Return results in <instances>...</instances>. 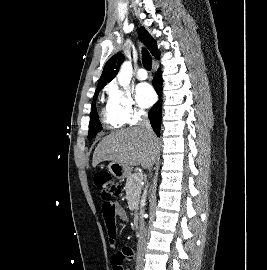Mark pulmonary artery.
Masks as SVG:
<instances>
[{"label":"pulmonary artery","mask_w":267,"mask_h":270,"mask_svg":"<svg viewBox=\"0 0 267 270\" xmlns=\"http://www.w3.org/2000/svg\"><path fill=\"white\" fill-rule=\"evenodd\" d=\"M137 77L138 79L140 80H145L147 79L148 75H147V72L144 68H140L138 71H137Z\"/></svg>","instance_id":"e3ab8cb5"}]
</instances>
